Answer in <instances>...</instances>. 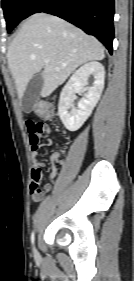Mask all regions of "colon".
<instances>
[{
	"label": "colon",
	"mask_w": 134,
	"mask_h": 281,
	"mask_svg": "<svg viewBox=\"0 0 134 281\" xmlns=\"http://www.w3.org/2000/svg\"><path fill=\"white\" fill-rule=\"evenodd\" d=\"M36 112L45 118H49L53 115V107L48 103L40 102L36 106ZM30 188L31 195H39L41 192L38 183L36 182L31 183Z\"/></svg>",
	"instance_id": "colon-1"
}]
</instances>
